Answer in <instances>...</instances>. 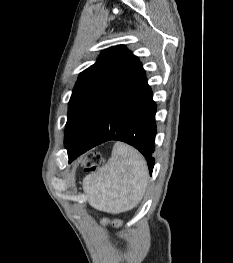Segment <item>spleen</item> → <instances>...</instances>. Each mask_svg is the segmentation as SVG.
<instances>
[{
    "label": "spleen",
    "instance_id": "1",
    "mask_svg": "<svg viewBox=\"0 0 233 263\" xmlns=\"http://www.w3.org/2000/svg\"><path fill=\"white\" fill-rule=\"evenodd\" d=\"M147 184L148 168L143 156L131 146L117 142L108 162L84 178L83 190L93 208L122 213L140 203Z\"/></svg>",
    "mask_w": 233,
    "mask_h": 263
}]
</instances>
